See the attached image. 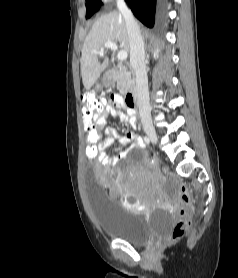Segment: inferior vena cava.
Here are the masks:
<instances>
[{"label": "inferior vena cava", "instance_id": "inferior-vena-cava-1", "mask_svg": "<svg viewBox=\"0 0 238 278\" xmlns=\"http://www.w3.org/2000/svg\"><path fill=\"white\" fill-rule=\"evenodd\" d=\"M117 7L126 22L130 43V63L134 69L136 77L135 96L139 107L141 121L143 125L151 126L144 39L131 10L127 8L124 0H117Z\"/></svg>", "mask_w": 238, "mask_h": 278}]
</instances>
